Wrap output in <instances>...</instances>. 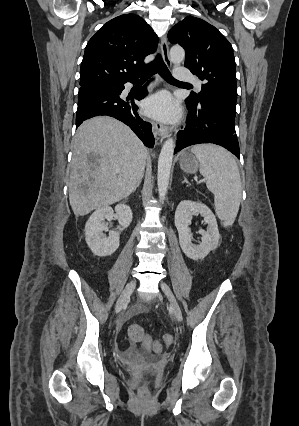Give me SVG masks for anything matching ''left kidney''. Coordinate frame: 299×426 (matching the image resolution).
<instances>
[{
  "label": "left kidney",
  "mask_w": 299,
  "mask_h": 426,
  "mask_svg": "<svg viewBox=\"0 0 299 426\" xmlns=\"http://www.w3.org/2000/svg\"><path fill=\"white\" fill-rule=\"evenodd\" d=\"M199 213L208 225L207 230L200 229L202 241L199 245L192 244V233L189 224L192 215ZM175 226L179 234V243L184 254L193 260L204 259L210 251L215 250L219 243V230L215 215L201 202L183 200L175 212Z\"/></svg>",
  "instance_id": "obj_1"
}]
</instances>
